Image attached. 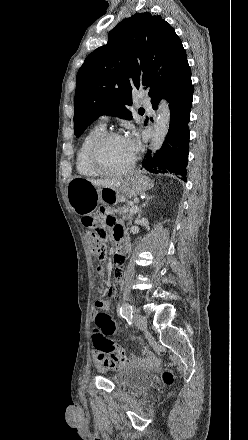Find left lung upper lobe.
Instances as JSON below:
<instances>
[{
	"label": "left lung upper lobe",
	"mask_w": 248,
	"mask_h": 440,
	"mask_svg": "<svg viewBox=\"0 0 248 440\" xmlns=\"http://www.w3.org/2000/svg\"><path fill=\"white\" fill-rule=\"evenodd\" d=\"M190 79L186 52L169 23L149 12L125 18L77 73L74 134L101 115L131 119L135 88L146 89L154 103Z\"/></svg>",
	"instance_id": "1"
}]
</instances>
